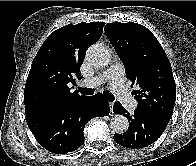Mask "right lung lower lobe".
Here are the masks:
<instances>
[{
  "instance_id": "obj_1",
  "label": "right lung lower lobe",
  "mask_w": 196,
  "mask_h": 166,
  "mask_svg": "<svg viewBox=\"0 0 196 166\" xmlns=\"http://www.w3.org/2000/svg\"><path fill=\"white\" fill-rule=\"evenodd\" d=\"M109 115V104L100 95L82 96L53 110L27 117L38 143L56 154L78 149L84 142V126L97 116Z\"/></svg>"
}]
</instances>
